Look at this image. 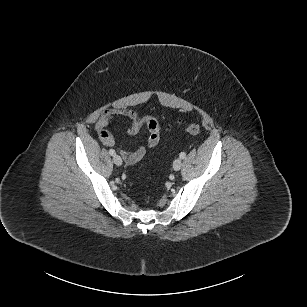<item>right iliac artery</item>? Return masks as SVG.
I'll use <instances>...</instances> for the list:
<instances>
[{"instance_id":"obj_1","label":"right iliac artery","mask_w":307,"mask_h":307,"mask_svg":"<svg viewBox=\"0 0 307 307\" xmlns=\"http://www.w3.org/2000/svg\"><path fill=\"white\" fill-rule=\"evenodd\" d=\"M109 154L112 155V156H114V155L116 154V152H115V150L110 149V150H109Z\"/></svg>"}]
</instances>
